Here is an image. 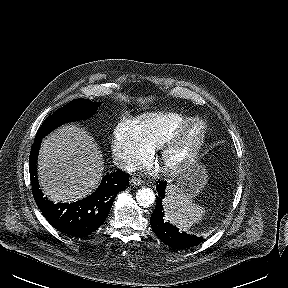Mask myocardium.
Wrapping results in <instances>:
<instances>
[{
	"label": "myocardium",
	"mask_w": 288,
	"mask_h": 288,
	"mask_svg": "<svg viewBox=\"0 0 288 288\" xmlns=\"http://www.w3.org/2000/svg\"><path fill=\"white\" fill-rule=\"evenodd\" d=\"M193 126H198L200 128L199 135L185 155L181 158L171 160V153ZM207 135V123L198 118L189 119L186 123L169 134L160 145L159 160L163 164L165 170L171 176H179L187 172L196 163L198 156L206 143Z\"/></svg>",
	"instance_id": "1"
}]
</instances>
